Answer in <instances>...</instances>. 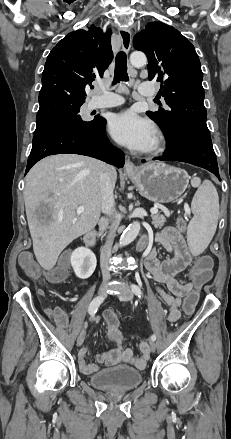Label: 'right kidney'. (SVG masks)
<instances>
[{
  "instance_id": "right-kidney-1",
  "label": "right kidney",
  "mask_w": 231,
  "mask_h": 439,
  "mask_svg": "<svg viewBox=\"0 0 231 439\" xmlns=\"http://www.w3.org/2000/svg\"><path fill=\"white\" fill-rule=\"evenodd\" d=\"M71 265L78 278H89L96 268V256L86 247H79L71 255Z\"/></svg>"
}]
</instances>
